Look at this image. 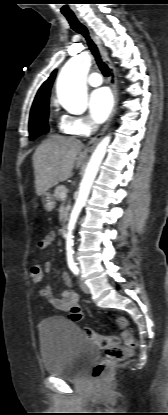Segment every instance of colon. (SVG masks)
<instances>
[{"instance_id": "colon-1", "label": "colon", "mask_w": 168, "mask_h": 415, "mask_svg": "<svg viewBox=\"0 0 168 415\" xmlns=\"http://www.w3.org/2000/svg\"><path fill=\"white\" fill-rule=\"evenodd\" d=\"M43 266L42 260H37L29 266L28 276L30 277L31 289L37 290L38 284L44 281V276L41 271ZM116 322L118 326L123 330L122 338L124 343L121 344L120 338L118 336H102L96 333L91 328H84V336L93 344L97 345L99 348L104 349V354L102 359L93 367L91 371V377L94 380L101 378L103 373L116 364L117 362L123 360L127 356H130L133 353L135 347V341L128 330V321L124 317H117Z\"/></svg>"}]
</instances>
